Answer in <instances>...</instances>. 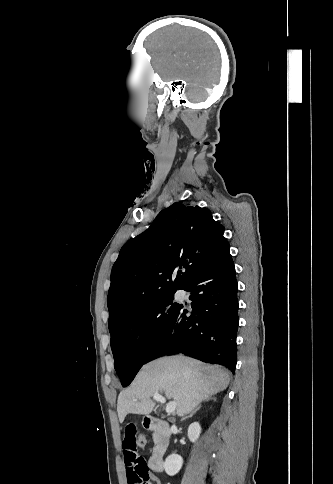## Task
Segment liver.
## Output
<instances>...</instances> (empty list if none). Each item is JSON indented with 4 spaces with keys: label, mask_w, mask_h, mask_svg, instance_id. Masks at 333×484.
<instances>
[{
    "label": "liver",
    "mask_w": 333,
    "mask_h": 484,
    "mask_svg": "<svg viewBox=\"0 0 333 484\" xmlns=\"http://www.w3.org/2000/svg\"><path fill=\"white\" fill-rule=\"evenodd\" d=\"M230 382L227 372L219 366L203 364L184 356L164 357L144 365L132 384L118 396L120 423L127 414L148 415L155 402L151 397L164 393L176 402V414L184 416L198 404L224 391Z\"/></svg>",
    "instance_id": "6515ba94"
}]
</instances>
